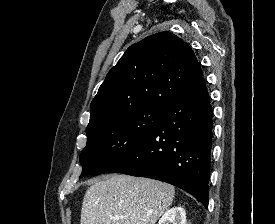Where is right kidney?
<instances>
[{
	"instance_id": "1",
	"label": "right kidney",
	"mask_w": 275,
	"mask_h": 224,
	"mask_svg": "<svg viewBox=\"0 0 275 224\" xmlns=\"http://www.w3.org/2000/svg\"><path fill=\"white\" fill-rule=\"evenodd\" d=\"M158 224H186V212L182 207H173L163 214Z\"/></svg>"
}]
</instances>
